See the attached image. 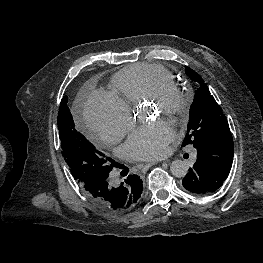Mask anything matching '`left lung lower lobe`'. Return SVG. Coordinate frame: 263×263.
Masks as SVG:
<instances>
[{"label":"left lung lower lobe","mask_w":263,"mask_h":263,"mask_svg":"<svg viewBox=\"0 0 263 263\" xmlns=\"http://www.w3.org/2000/svg\"><path fill=\"white\" fill-rule=\"evenodd\" d=\"M197 152V161L182 184L189 192L203 196L217 191L231 170L234 153L231 132L210 138L197 147Z\"/></svg>","instance_id":"0a47b994"}]
</instances>
